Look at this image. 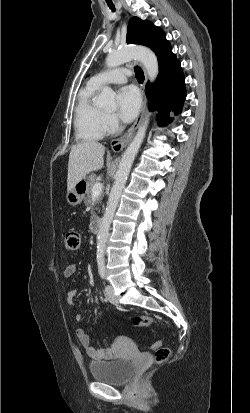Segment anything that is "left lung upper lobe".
I'll return each instance as SVG.
<instances>
[{
  "label": "left lung upper lobe",
  "instance_id": "5c2ea615",
  "mask_svg": "<svg viewBox=\"0 0 250 413\" xmlns=\"http://www.w3.org/2000/svg\"><path fill=\"white\" fill-rule=\"evenodd\" d=\"M127 43L145 45L152 51H160L167 44H170L159 27L138 17H133L129 20Z\"/></svg>",
  "mask_w": 250,
  "mask_h": 413
}]
</instances>
